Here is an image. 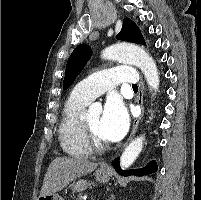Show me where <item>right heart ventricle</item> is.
<instances>
[{
  "label": "right heart ventricle",
  "instance_id": "e07e8e85",
  "mask_svg": "<svg viewBox=\"0 0 201 200\" xmlns=\"http://www.w3.org/2000/svg\"><path fill=\"white\" fill-rule=\"evenodd\" d=\"M89 101L71 93L66 100L58 127L59 142L62 150L69 156L85 157L91 154L82 133L81 113Z\"/></svg>",
  "mask_w": 201,
  "mask_h": 200
}]
</instances>
